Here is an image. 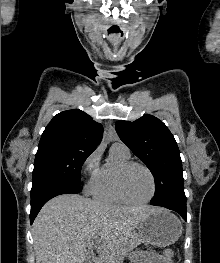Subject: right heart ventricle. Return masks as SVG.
<instances>
[{
  "instance_id": "right-heart-ventricle-1",
  "label": "right heart ventricle",
  "mask_w": 220,
  "mask_h": 263,
  "mask_svg": "<svg viewBox=\"0 0 220 263\" xmlns=\"http://www.w3.org/2000/svg\"><path fill=\"white\" fill-rule=\"evenodd\" d=\"M130 160L129 154H124L111 148L110 160L100 167L94 183L92 194L95 199L105 203H122L115 189V172L119 165Z\"/></svg>"
}]
</instances>
